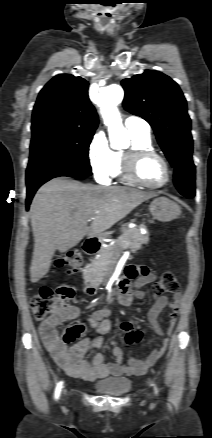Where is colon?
Listing matches in <instances>:
<instances>
[{"instance_id":"1","label":"colon","mask_w":212,"mask_h":438,"mask_svg":"<svg viewBox=\"0 0 212 438\" xmlns=\"http://www.w3.org/2000/svg\"><path fill=\"white\" fill-rule=\"evenodd\" d=\"M82 263V256L78 251H69L59 257L56 261L57 267H67L75 272ZM179 282L172 272H165L154 285L157 295L169 294L178 291ZM74 298V290L66 285L58 288L57 296L50 287L40 288L37 295L33 298L32 308L35 318L43 322L53 321L57 317L58 310L62 303H68ZM83 332L82 325H74L63 330L61 339L67 343L76 340Z\"/></svg>"}]
</instances>
